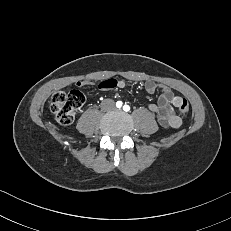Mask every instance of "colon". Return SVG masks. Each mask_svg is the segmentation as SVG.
<instances>
[{"instance_id":"obj_1","label":"colon","mask_w":231,"mask_h":231,"mask_svg":"<svg viewBox=\"0 0 231 231\" xmlns=\"http://www.w3.org/2000/svg\"><path fill=\"white\" fill-rule=\"evenodd\" d=\"M85 102L84 94L78 89H71L67 92H56L50 102V110L56 120L62 125H69L73 122L75 113ZM179 111L186 115L189 112V103L183 99L179 105Z\"/></svg>"}]
</instances>
